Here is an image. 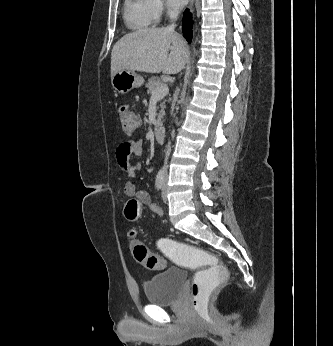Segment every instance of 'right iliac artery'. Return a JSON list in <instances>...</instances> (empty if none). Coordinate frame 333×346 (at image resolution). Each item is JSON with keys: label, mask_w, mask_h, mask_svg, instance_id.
Listing matches in <instances>:
<instances>
[{"label": "right iliac artery", "mask_w": 333, "mask_h": 346, "mask_svg": "<svg viewBox=\"0 0 333 346\" xmlns=\"http://www.w3.org/2000/svg\"><path fill=\"white\" fill-rule=\"evenodd\" d=\"M164 180H165V171L161 169L158 171V174L156 176V181H155L157 190H160L163 187Z\"/></svg>", "instance_id": "right-iliac-artery-1"}]
</instances>
